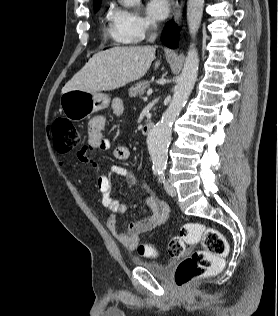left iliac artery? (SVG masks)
Listing matches in <instances>:
<instances>
[{"label": "left iliac artery", "instance_id": "obj_1", "mask_svg": "<svg viewBox=\"0 0 278 316\" xmlns=\"http://www.w3.org/2000/svg\"><path fill=\"white\" fill-rule=\"evenodd\" d=\"M159 181H162L163 178H164V169H161L160 172H159Z\"/></svg>", "mask_w": 278, "mask_h": 316}]
</instances>
